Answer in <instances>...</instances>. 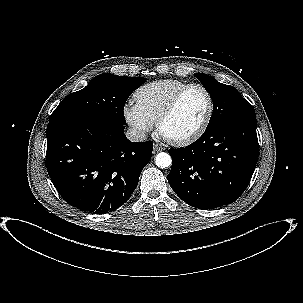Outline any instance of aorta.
<instances>
[{"instance_id": "obj_1", "label": "aorta", "mask_w": 303, "mask_h": 303, "mask_svg": "<svg viewBox=\"0 0 303 303\" xmlns=\"http://www.w3.org/2000/svg\"><path fill=\"white\" fill-rule=\"evenodd\" d=\"M155 164L161 169L167 168L172 164V158L168 153L160 152L155 157Z\"/></svg>"}]
</instances>
